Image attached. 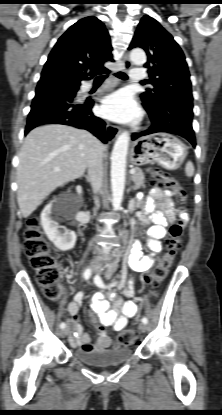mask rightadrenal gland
Returning a JSON list of instances; mask_svg holds the SVG:
<instances>
[{
	"mask_svg": "<svg viewBox=\"0 0 222 415\" xmlns=\"http://www.w3.org/2000/svg\"><path fill=\"white\" fill-rule=\"evenodd\" d=\"M87 182H90L89 177L87 175L84 176Z\"/></svg>",
	"mask_w": 222,
	"mask_h": 415,
	"instance_id": "1",
	"label": "right adrenal gland"
}]
</instances>
